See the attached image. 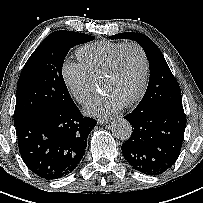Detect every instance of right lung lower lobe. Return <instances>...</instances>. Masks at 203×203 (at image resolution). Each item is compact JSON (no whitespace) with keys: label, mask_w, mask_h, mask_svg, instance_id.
Wrapping results in <instances>:
<instances>
[{"label":"right lung lower lobe","mask_w":203,"mask_h":203,"mask_svg":"<svg viewBox=\"0 0 203 203\" xmlns=\"http://www.w3.org/2000/svg\"><path fill=\"white\" fill-rule=\"evenodd\" d=\"M96 120L84 117L75 103L50 109L15 124L26 166L46 180L64 177L80 163Z\"/></svg>","instance_id":"1"}]
</instances>
